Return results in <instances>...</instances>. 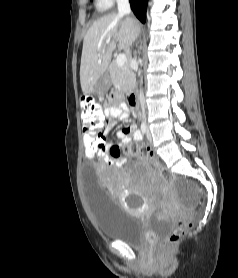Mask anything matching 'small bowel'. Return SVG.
Wrapping results in <instances>:
<instances>
[{"label":"small bowel","instance_id":"1","mask_svg":"<svg viewBox=\"0 0 238 278\" xmlns=\"http://www.w3.org/2000/svg\"><path fill=\"white\" fill-rule=\"evenodd\" d=\"M103 116V151L100 153L99 158L104 163H110V157H109V150L112 146L116 145L120 149L132 141H141L142 140V134L141 132L136 128L135 125H126L122 130L118 131L116 133V137L118 139L117 143L110 144L105 140V133L107 131V127L105 125L106 121L110 120L112 122L115 121H125L128 119L129 111L126 106V104L122 102L116 101L115 98H113L110 102V104L103 110L102 112Z\"/></svg>","mask_w":238,"mask_h":278}]
</instances>
